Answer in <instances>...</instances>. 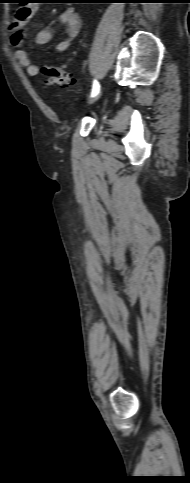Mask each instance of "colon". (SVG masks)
<instances>
[{"mask_svg": "<svg viewBox=\"0 0 190 483\" xmlns=\"http://www.w3.org/2000/svg\"><path fill=\"white\" fill-rule=\"evenodd\" d=\"M35 3V2H34ZM42 79L50 85L65 88L72 84L73 79L61 67L47 64L42 69Z\"/></svg>", "mask_w": 190, "mask_h": 483, "instance_id": "1", "label": "colon"}]
</instances>
